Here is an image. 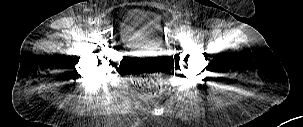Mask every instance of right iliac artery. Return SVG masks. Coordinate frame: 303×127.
Here are the masks:
<instances>
[{
	"label": "right iliac artery",
	"instance_id": "right-iliac-artery-1",
	"mask_svg": "<svg viewBox=\"0 0 303 127\" xmlns=\"http://www.w3.org/2000/svg\"><path fill=\"white\" fill-rule=\"evenodd\" d=\"M87 23L90 24V25H92V24L95 23V20H94L93 18H89V19L87 20Z\"/></svg>",
	"mask_w": 303,
	"mask_h": 127
}]
</instances>
